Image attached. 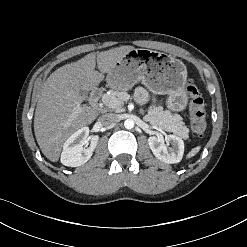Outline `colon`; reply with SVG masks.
I'll use <instances>...</instances> for the list:
<instances>
[{
	"instance_id": "1",
	"label": "colon",
	"mask_w": 247,
	"mask_h": 247,
	"mask_svg": "<svg viewBox=\"0 0 247 247\" xmlns=\"http://www.w3.org/2000/svg\"><path fill=\"white\" fill-rule=\"evenodd\" d=\"M185 92L189 98L191 128L195 135H202L206 129V110L200 93L192 80H188Z\"/></svg>"
}]
</instances>
